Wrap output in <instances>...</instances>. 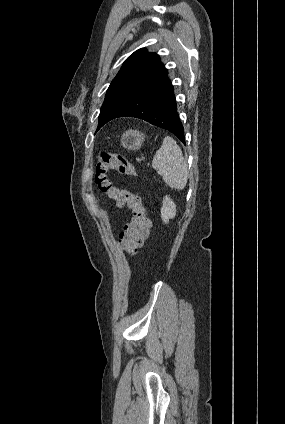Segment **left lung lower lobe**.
I'll return each instance as SVG.
<instances>
[{
    "mask_svg": "<svg viewBox=\"0 0 285 424\" xmlns=\"http://www.w3.org/2000/svg\"><path fill=\"white\" fill-rule=\"evenodd\" d=\"M118 117H135L172 132L185 143L184 128L176 110L173 85L165 69L150 84L129 96L108 115L105 123Z\"/></svg>",
    "mask_w": 285,
    "mask_h": 424,
    "instance_id": "0a47b994",
    "label": "left lung lower lobe"
}]
</instances>
